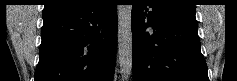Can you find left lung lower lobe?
<instances>
[{"mask_svg": "<svg viewBox=\"0 0 237 81\" xmlns=\"http://www.w3.org/2000/svg\"><path fill=\"white\" fill-rule=\"evenodd\" d=\"M131 22L134 81H209L194 12L135 0Z\"/></svg>", "mask_w": 237, "mask_h": 81, "instance_id": "0a47b994", "label": "left lung lower lobe"}]
</instances>
